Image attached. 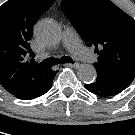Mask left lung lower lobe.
Here are the masks:
<instances>
[{"instance_id": "left-lung-lower-lobe-1", "label": "left lung lower lobe", "mask_w": 135, "mask_h": 135, "mask_svg": "<svg viewBox=\"0 0 135 135\" xmlns=\"http://www.w3.org/2000/svg\"><path fill=\"white\" fill-rule=\"evenodd\" d=\"M128 86L113 82L106 77L97 75L95 82L86 84L85 88L91 93L101 96L109 97L121 93Z\"/></svg>"}]
</instances>
